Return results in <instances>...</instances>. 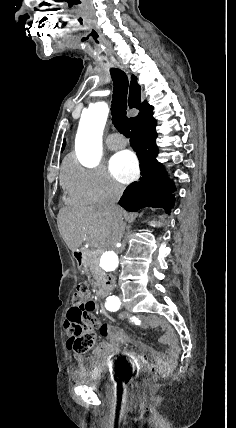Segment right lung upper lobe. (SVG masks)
Returning <instances> with one entry per match:
<instances>
[{"label":"right lung upper lobe","instance_id":"obj_1","mask_svg":"<svg viewBox=\"0 0 236 428\" xmlns=\"http://www.w3.org/2000/svg\"><path fill=\"white\" fill-rule=\"evenodd\" d=\"M129 107H136L140 110L137 117H132L129 119L130 127H132L137 121L141 120L143 117L152 113L153 106L149 105L146 101L141 103V87L137 84V77L132 75L130 81L129 89ZM65 146V141L63 143V148Z\"/></svg>","mask_w":236,"mask_h":428}]
</instances>
